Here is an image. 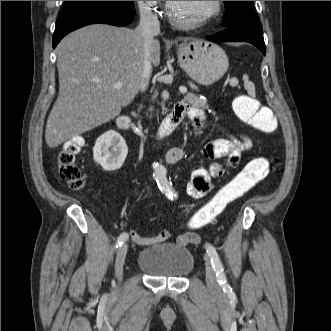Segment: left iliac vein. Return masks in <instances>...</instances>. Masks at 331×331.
I'll return each mask as SVG.
<instances>
[{"label": "left iliac vein", "instance_id": "obj_1", "mask_svg": "<svg viewBox=\"0 0 331 331\" xmlns=\"http://www.w3.org/2000/svg\"><path fill=\"white\" fill-rule=\"evenodd\" d=\"M205 267H206V282L210 289L216 290L218 288L217 278L215 276L214 268L209 257L205 256Z\"/></svg>", "mask_w": 331, "mask_h": 331}]
</instances>
